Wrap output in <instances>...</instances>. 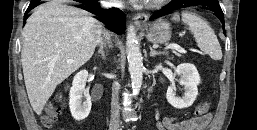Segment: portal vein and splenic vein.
I'll return each instance as SVG.
<instances>
[{
	"label": "portal vein and splenic vein",
	"mask_w": 257,
	"mask_h": 130,
	"mask_svg": "<svg viewBox=\"0 0 257 130\" xmlns=\"http://www.w3.org/2000/svg\"><path fill=\"white\" fill-rule=\"evenodd\" d=\"M166 49H174V50H176V51H178L180 53H186V51L183 48H181V47H179L177 45H170ZM72 62H73L72 60L68 61V63H72Z\"/></svg>",
	"instance_id": "portal-vein-and-splenic-vein-1"
}]
</instances>
